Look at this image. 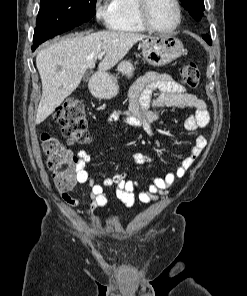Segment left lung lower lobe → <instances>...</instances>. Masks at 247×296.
Instances as JSON below:
<instances>
[{"label":"left lung lower lobe","mask_w":247,"mask_h":296,"mask_svg":"<svg viewBox=\"0 0 247 296\" xmlns=\"http://www.w3.org/2000/svg\"><path fill=\"white\" fill-rule=\"evenodd\" d=\"M203 38H204L209 44L212 43L210 36H208V35H203Z\"/></svg>","instance_id":"0a47b994"}]
</instances>
